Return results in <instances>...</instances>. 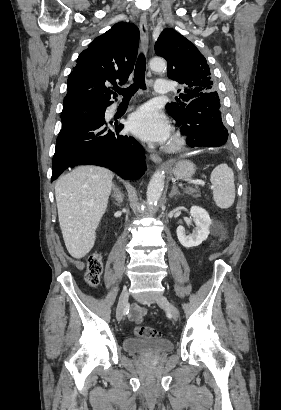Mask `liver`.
Returning <instances> with one entry per match:
<instances>
[{
	"label": "liver",
	"mask_w": 281,
	"mask_h": 410,
	"mask_svg": "<svg viewBox=\"0 0 281 410\" xmlns=\"http://www.w3.org/2000/svg\"><path fill=\"white\" fill-rule=\"evenodd\" d=\"M113 174L98 166H80L55 184L59 224L66 248L76 259L94 246L96 228L113 187Z\"/></svg>",
	"instance_id": "6515ba94"
}]
</instances>
